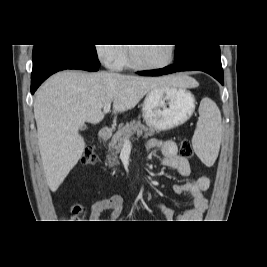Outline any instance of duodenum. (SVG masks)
Returning a JSON list of instances; mask_svg holds the SVG:
<instances>
[{"instance_id": "410a0bca", "label": "duodenum", "mask_w": 267, "mask_h": 267, "mask_svg": "<svg viewBox=\"0 0 267 267\" xmlns=\"http://www.w3.org/2000/svg\"><path fill=\"white\" fill-rule=\"evenodd\" d=\"M111 130L109 128H102L100 131H99V140L101 142H105L107 140H109V138L111 137Z\"/></svg>"}]
</instances>
